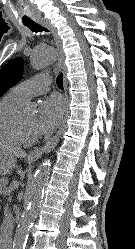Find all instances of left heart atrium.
Here are the masks:
<instances>
[{
    "label": "left heart atrium",
    "mask_w": 135,
    "mask_h": 249,
    "mask_svg": "<svg viewBox=\"0 0 135 249\" xmlns=\"http://www.w3.org/2000/svg\"><path fill=\"white\" fill-rule=\"evenodd\" d=\"M65 108V103L59 95H52L44 99L40 104L34 123L36 133H51L61 122Z\"/></svg>",
    "instance_id": "39dd6f15"
}]
</instances>
